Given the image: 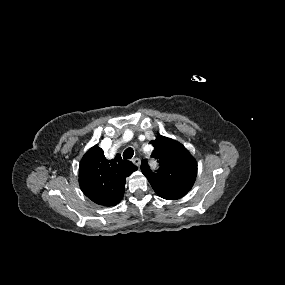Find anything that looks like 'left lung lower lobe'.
I'll use <instances>...</instances> for the list:
<instances>
[{"mask_svg":"<svg viewBox=\"0 0 285 285\" xmlns=\"http://www.w3.org/2000/svg\"><path fill=\"white\" fill-rule=\"evenodd\" d=\"M160 197L167 200H176L183 197L186 193L183 192H170V191H158L156 192Z\"/></svg>","mask_w":285,"mask_h":285,"instance_id":"1","label":"left lung lower lobe"}]
</instances>
